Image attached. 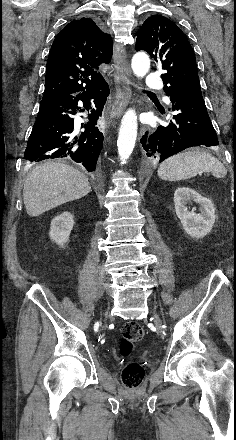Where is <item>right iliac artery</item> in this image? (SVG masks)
<instances>
[{
    "label": "right iliac artery",
    "instance_id": "right-iliac-artery-1",
    "mask_svg": "<svg viewBox=\"0 0 236 440\" xmlns=\"http://www.w3.org/2000/svg\"><path fill=\"white\" fill-rule=\"evenodd\" d=\"M98 326H99L98 323H96L95 326H94V330H95V331L98 330Z\"/></svg>",
    "mask_w": 236,
    "mask_h": 440
}]
</instances>
